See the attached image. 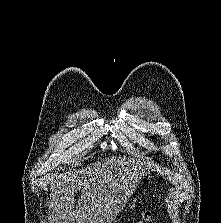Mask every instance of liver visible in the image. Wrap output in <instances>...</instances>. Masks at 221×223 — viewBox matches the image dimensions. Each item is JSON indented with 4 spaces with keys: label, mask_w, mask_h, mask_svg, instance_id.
<instances>
[{
    "label": "liver",
    "mask_w": 221,
    "mask_h": 223,
    "mask_svg": "<svg viewBox=\"0 0 221 223\" xmlns=\"http://www.w3.org/2000/svg\"><path fill=\"white\" fill-rule=\"evenodd\" d=\"M130 158L110 157L70 172L52 201L51 223H112L140 180ZM81 202L75 206V193Z\"/></svg>",
    "instance_id": "liver-1"
}]
</instances>
